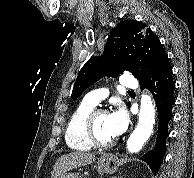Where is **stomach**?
Wrapping results in <instances>:
<instances>
[{
  "mask_svg": "<svg viewBox=\"0 0 194 178\" xmlns=\"http://www.w3.org/2000/svg\"><path fill=\"white\" fill-rule=\"evenodd\" d=\"M119 166V159L111 154H103L98 159L97 162V171L99 173H115ZM58 178H78V175L75 173H64L60 175Z\"/></svg>",
  "mask_w": 194,
  "mask_h": 178,
  "instance_id": "obj_1",
  "label": "stomach"
}]
</instances>
